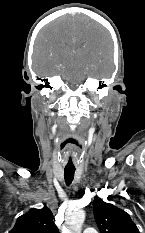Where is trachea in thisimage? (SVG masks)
I'll return each mask as SVG.
<instances>
[{
	"label": "trachea",
	"mask_w": 145,
	"mask_h": 233,
	"mask_svg": "<svg viewBox=\"0 0 145 233\" xmlns=\"http://www.w3.org/2000/svg\"><path fill=\"white\" fill-rule=\"evenodd\" d=\"M75 168H65L64 169V178L66 185H70L74 179Z\"/></svg>",
	"instance_id": "3493384b"
}]
</instances>
